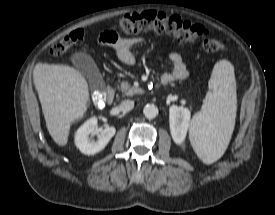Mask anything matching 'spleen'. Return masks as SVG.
Returning <instances> with one entry per match:
<instances>
[{
    "label": "spleen",
    "instance_id": "spleen-1",
    "mask_svg": "<svg viewBox=\"0 0 275 215\" xmlns=\"http://www.w3.org/2000/svg\"><path fill=\"white\" fill-rule=\"evenodd\" d=\"M209 92L190 123L191 145L205 164L217 161L230 142L236 118L237 96L234 67L218 61L208 83Z\"/></svg>",
    "mask_w": 275,
    "mask_h": 215
}]
</instances>
